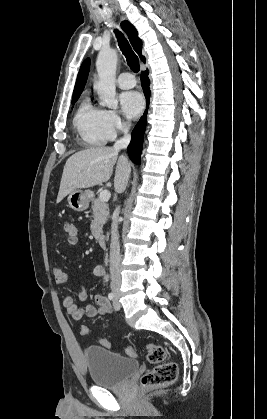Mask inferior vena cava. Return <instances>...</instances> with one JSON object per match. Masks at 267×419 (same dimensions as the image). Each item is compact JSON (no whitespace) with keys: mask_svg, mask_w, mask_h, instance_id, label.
<instances>
[{"mask_svg":"<svg viewBox=\"0 0 267 419\" xmlns=\"http://www.w3.org/2000/svg\"><path fill=\"white\" fill-rule=\"evenodd\" d=\"M130 124L122 126L121 130L124 133L123 138L116 141L113 148L116 151L127 148L131 135L129 134ZM118 214L114 218L111 225V244H110V275H111V289L113 291L118 290L121 285V255H120V244L118 234Z\"/></svg>","mask_w":267,"mask_h":419,"instance_id":"obj_1","label":"inferior vena cava"}]
</instances>
